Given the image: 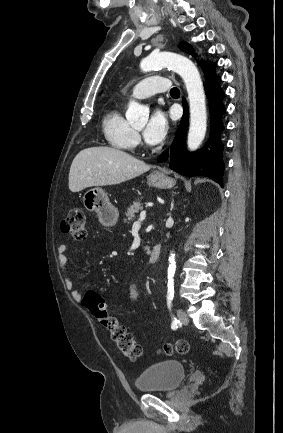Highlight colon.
<instances>
[{"label":"colon","mask_w":283,"mask_h":433,"mask_svg":"<svg viewBox=\"0 0 283 433\" xmlns=\"http://www.w3.org/2000/svg\"><path fill=\"white\" fill-rule=\"evenodd\" d=\"M61 230L76 241L85 240L87 237V224L84 211L79 207L72 208L67 217L61 222ZM82 303L110 333L112 341L125 357L134 361L141 356V346L135 341L133 335L118 323L116 318L108 315L105 302L99 293L96 291L86 292ZM188 350V342L179 340L175 345L165 344L160 349V352L171 355L174 352L185 354Z\"/></svg>","instance_id":"1"}]
</instances>
